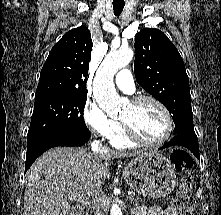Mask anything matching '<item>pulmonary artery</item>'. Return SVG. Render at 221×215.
Returning a JSON list of instances; mask_svg holds the SVG:
<instances>
[{"instance_id":"obj_1","label":"pulmonary artery","mask_w":221,"mask_h":215,"mask_svg":"<svg viewBox=\"0 0 221 215\" xmlns=\"http://www.w3.org/2000/svg\"><path fill=\"white\" fill-rule=\"evenodd\" d=\"M116 85L127 93H133L135 90L134 80L130 70L122 69L115 77Z\"/></svg>"}]
</instances>
